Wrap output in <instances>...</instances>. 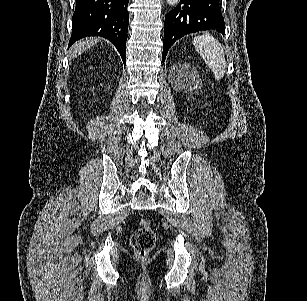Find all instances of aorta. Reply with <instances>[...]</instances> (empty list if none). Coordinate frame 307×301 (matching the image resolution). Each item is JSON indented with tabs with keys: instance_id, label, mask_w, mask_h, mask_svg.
Wrapping results in <instances>:
<instances>
[{
	"instance_id": "aorta-1",
	"label": "aorta",
	"mask_w": 307,
	"mask_h": 301,
	"mask_svg": "<svg viewBox=\"0 0 307 301\" xmlns=\"http://www.w3.org/2000/svg\"><path fill=\"white\" fill-rule=\"evenodd\" d=\"M168 4H171V6H176L178 4L179 0H167Z\"/></svg>"
}]
</instances>
